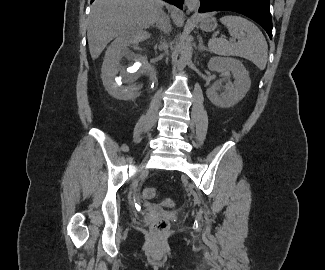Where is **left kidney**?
I'll return each mask as SVG.
<instances>
[{
    "mask_svg": "<svg viewBox=\"0 0 325 270\" xmlns=\"http://www.w3.org/2000/svg\"><path fill=\"white\" fill-rule=\"evenodd\" d=\"M208 69L216 72H231L234 82L226 84L224 91L218 95V86H212L207 89L206 94L209 100L221 108H229L241 101L251 86V80L248 71L241 61L234 58L213 57L209 60Z\"/></svg>",
    "mask_w": 325,
    "mask_h": 270,
    "instance_id": "left-kidney-1",
    "label": "left kidney"
}]
</instances>
